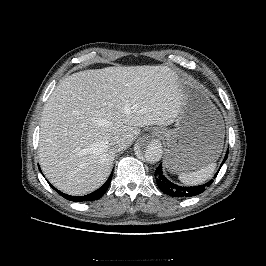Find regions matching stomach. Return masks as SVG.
<instances>
[{"instance_id":"0dacf381","label":"stomach","mask_w":266,"mask_h":266,"mask_svg":"<svg viewBox=\"0 0 266 266\" xmlns=\"http://www.w3.org/2000/svg\"><path fill=\"white\" fill-rule=\"evenodd\" d=\"M180 83L182 104L175 128L152 130L167 145L166 168L177 174L198 171L215 162L222 151L225 133L222 116L203 88L190 79Z\"/></svg>"}]
</instances>
